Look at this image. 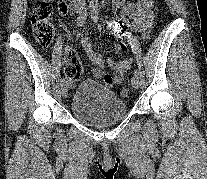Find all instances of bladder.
<instances>
[{
	"label": "bladder",
	"mask_w": 207,
	"mask_h": 179,
	"mask_svg": "<svg viewBox=\"0 0 207 179\" xmlns=\"http://www.w3.org/2000/svg\"><path fill=\"white\" fill-rule=\"evenodd\" d=\"M71 111L84 124L102 127L120 121L127 112V103L116 92L85 80L73 94Z\"/></svg>",
	"instance_id": "obj_1"
}]
</instances>
